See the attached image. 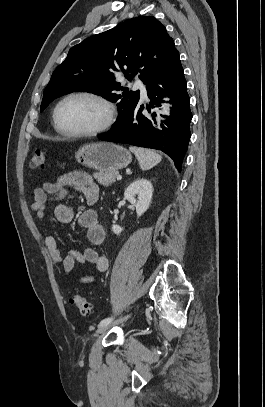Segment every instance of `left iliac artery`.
Listing matches in <instances>:
<instances>
[{
	"label": "left iliac artery",
	"mask_w": 265,
	"mask_h": 407,
	"mask_svg": "<svg viewBox=\"0 0 265 407\" xmlns=\"http://www.w3.org/2000/svg\"><path fill=\"white\" fill-rule=\"evenodd\" d=\"M112 320H113V318H105L99 323V326L109 324Z\"/></svg>",
	"instance_id": "1"
}]
</instances>
